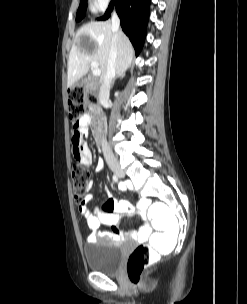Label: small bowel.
Returning <instances> with one entry per match:
<instances>
[{
	"label": "small bowel",
	"mask_w": 247,
	"mask_h": 304,
	"mask_svg": "<svg viewBox=\"0 0 247 304\" xmlns=\"http://www.w3.org/2000/svg\"><path fill=\"white\" fill-rule=\"evenodd\" d=\"M92 119L89 115H83L79 122L72 123V132H71V156H73V164L74 165H83L88 168L92 164V154L88 146L83 143L84 137L89 135V126L91 125ZM76 129V130H75ZM80 141V142H79ZM80 143V144H79ZM102 163L99 162L97 164V170H101ZM92 184H89L87 191L88 193L85 195L82 203L79 204V211L82 216L85 218L88 228L92 230V233L88 236V242H95L99 238H110L112 240L121 239L122 235L119 232L116 224L119 220V216L117 213L112 214H104L94 215L92 211L89 209L88 204L93 199L92 194L90 193L92 189ZM149 205L148 199H142L139 202V209L141 211V215L144 218L146 216L145 209ZM101 224L111 225V232H101L98 231ZM151 234V229L149 227H142L135 233H128L124 235L126 239L136 238L140 241H145Z\"/></svg>",
	"instance_id": "1"
}]
</instances>
